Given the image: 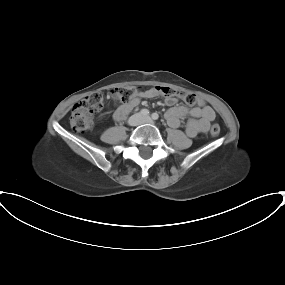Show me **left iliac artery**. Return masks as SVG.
Returning a JSON list of instances; mask_svg holds the SVG:
<instances>
[{"mask_svg": "<svg viewBox=\"0 0 285 285\" xmlns=\"http://www.w3.org/2000/svg\"><path fill=\"white\" fill-rule=\"evenodd\" d=\"M152 118H153L154 120H157V119L159 118V115H158L157 113H153V114H152Z\"/></svg>", "mask_w": 285, "mask_h": 285, "instance_id": "44dca946", "label": "left iliac artery"}]
</instances>
